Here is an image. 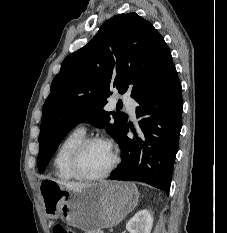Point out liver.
<instances>
[{"label":"liver","mask_w":227,"mask_h":233,"mask_svg":"<svg viewBox=\"0 0 227 233\" xmlns=\"http://www.w3.org/2000/svg\"><path fill=\"white\" fill-rule=\"evenodd\" d=\"M56 183L59 185L65 186L70 189H79L85 186H88V184H83V183H72V182H67V181H62V180H54Z\"/></svg>","instance_id":"1"}]
</instances>
